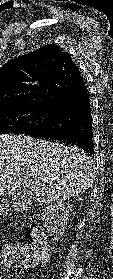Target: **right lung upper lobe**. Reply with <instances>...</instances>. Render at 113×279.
Instances as JSON below:
<instances>
[{"label": "right lung upper lobe", "instance_id": "right-lung-upper-lobe-1", "mask_svg": "<svg viewBox=\"0 0 113 279\" xmlns=\"http://www.w3.org/2000/svg\"><path fill=\"white\" fill-rule=\"evenodd\" d=\"M84 88L71 55L55 44L9 60L0 68V108L39 104L63 108Z\"/></svg>", "mask_w": 113, "mask_h": 279}]
</instances>
